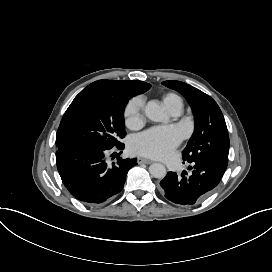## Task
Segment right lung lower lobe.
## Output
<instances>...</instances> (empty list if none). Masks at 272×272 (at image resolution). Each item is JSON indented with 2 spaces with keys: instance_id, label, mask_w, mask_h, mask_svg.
<instances>
[{
  "instance_id": "obj_1",
  "label": "right lung lower lobe",
  "mask_w": 272,
  "mask_h": 272,
  "mask_svg": "<svg viewBox=\"0 0 272 272\" xmlns=\"http://www.w3.org/2000/svg\"><path fill=\"white\" fill-rule=\"evenodd\" d=\"M109 150L80 146L56 152L63 184L73 197L87 205H103L113 199L123 189L128 170L137 164L136 159L118 158L107 165L105 154Z\"/></svg>"
}]
</instances>
